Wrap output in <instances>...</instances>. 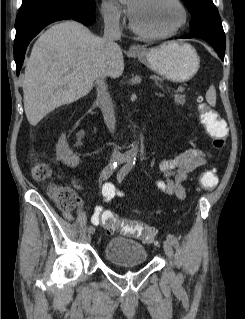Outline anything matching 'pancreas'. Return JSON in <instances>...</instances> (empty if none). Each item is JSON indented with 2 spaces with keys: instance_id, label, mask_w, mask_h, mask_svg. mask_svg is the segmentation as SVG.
<instances>
[{
  "instance_id": "cf45deb5",
  "label": "pancreas",
  "mask_w": 245,
  "mask_h": 319,
  "mask_svg": "<svg viewBox=\"0 0 245 319\" xmlns=\"http://www.w3.org/2000/svg\"><path fill=\"white\" fill-rule=\"evenodd\" d=\"M172 96H173L174 101L177 105H181V104L183 105L186 101V99H185L186 96L184 94L177 93V94H174Z\"/></svg>"
}]
</instances>
